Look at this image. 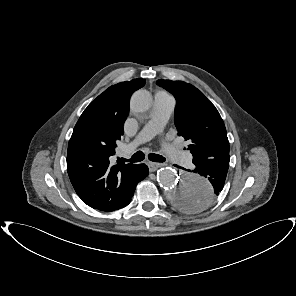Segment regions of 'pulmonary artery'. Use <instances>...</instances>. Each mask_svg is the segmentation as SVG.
Wrapping results in <instances>:
<instances>
[{
	"label": "pulmonary artery",
	"instance_id": "e3ab8cb5",
	"mask_svg": "<svg viewBox=\"0 0 296 296\" xmlns=\"http://www.w3.org/2000/svg\"><path fill=\"white\" fill-rule=\"evenodd\" d=\"M175 104L176 102L172 95L165 91H158L155 94V107L150 120L143 126L136 138L128 145V150L134 149L138 145L160 134L173 112ZM163 151L170 159L183 165L190 164L192 160V155L189 152L181 151L168 143L163 144Z\"/></svg>",
	"mask_w": 296,
	"mask_h": 296
}]
</instances>
